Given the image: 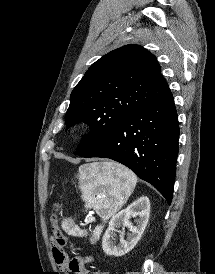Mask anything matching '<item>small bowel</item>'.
Masks as SVG:
<instances>
[{"label":"small bowel","mask_w":215,"mask_h":274,"mask_svg":"<svg viewBox=\"0 0 215 274\" xmlns=\"http://www.w3.org/2000/svg\"><path fill=\"white\" fill-rule=\"evenodd\" d=\"M52 254L56 264L62 271L73 274H88L87 265L95 262L92 256H76L71 259L65 252L64 246H60L55 242H52ZM92 274L103 273L96 271Z\"/></svg>","instance_id":"1"}]
</instances>
